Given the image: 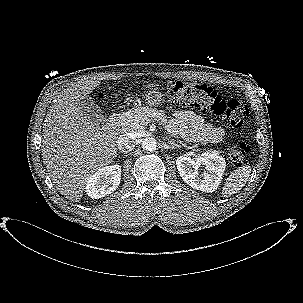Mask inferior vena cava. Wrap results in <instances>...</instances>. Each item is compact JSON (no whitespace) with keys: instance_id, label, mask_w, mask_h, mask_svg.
I'll list each match as a JSON object with an SVG mask.
<instances>
[{"instance_id":"1","label":"inferior vena cava","mask_w":303,"mask_h":303,"mask_svg":"<svg viewBox=\"0 0 303 303\" xmlns=\"http://www.w3.org/2000/svg\"><path fill=\"white\" fill-rule=\"evenodd\" d=\"M118 149L122 152L130 151L133 149V141L128 134L120 135L117 140Z\"/></svg>"}]
</instances>
